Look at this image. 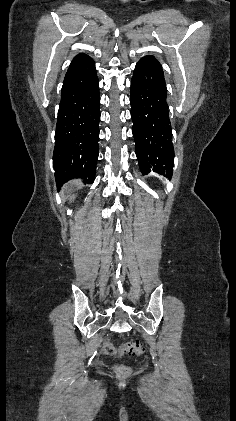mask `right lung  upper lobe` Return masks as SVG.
I'll return each mask as SVG.
<instances>
[{
  "label": "right lung upper lobe",
  "mask_w": 236,
  "mask_h": 421,
  "mask_svg": "<svg viewBox=\"0 0 236 421\" xmlns=\"http://www.w3.org/2000/svg\"><path fill=\"white\" fill-rule=\"evenodd\" d=\"M82 55H85V54H84V53H81V54L77 55L76 57H78V56H82Z\"/></svg>",
  "instance_id": "obj_1"
}]
</instances>
